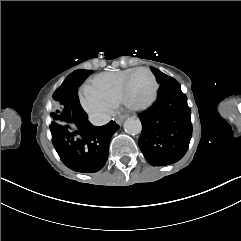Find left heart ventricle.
Segmentation results:
<instances>
[{"instance_id": "1", "label": "left heart ventricle", "mask_w": 241, "mask_h": 241, "mask_svg": "<svg viewBox=\"0 0 241 241\" xmlns=\"http://www.w3.org/2000/svg\"><path fill=\"white\" fill-rule=\"evenodd\" d=\"M152 95L151 80L144 75H136L129 85V96L126 104L129 107H137L141 102L150 100Z\"/></svg>"}]
</instances>
